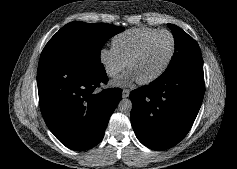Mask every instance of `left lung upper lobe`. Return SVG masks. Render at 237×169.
I'll list each match as a JSON object with an SVG mask.
<instances>
[{
  "mask_svg": "<svg viewBox=\"0 0 237 169\" xmlns=\"http://www.w3.org/2000/svg\"><path fill=\"white\" fill-rule=\"evenodd\" d=\"M175 40V52L166 71L160 77L171 76L195 67H203L197 42L176 25L168 24Z\"/></svg>",
  "mask_w": 237,
  "mask_h": 169,
  "instance_id": "1",
  "label": "left lung upper lobe"
}]
</instances>
